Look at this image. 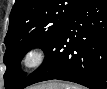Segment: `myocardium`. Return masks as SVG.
Listing matches in <instances>:
<instances>
[{
    "instance_id": "obj_1",
    "label": "myocardium",
    "mask_w": 107,
    "mask_h": 89,
    "mask_svg": "<svg viewBox=\"0 0 107 89\" xmlns=\"http://www.w3.org/2000/svg\"><path fill=\"white\" fill-rule=\"evenodd\" d=\"M46 59V51L42 47L28 49L21 58L24 68L32 70L40 67Z\"/></svg>"
}]
</instances>
